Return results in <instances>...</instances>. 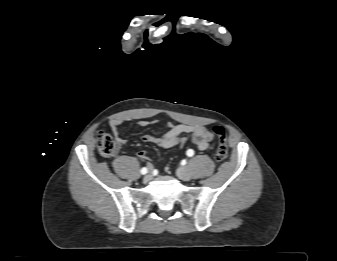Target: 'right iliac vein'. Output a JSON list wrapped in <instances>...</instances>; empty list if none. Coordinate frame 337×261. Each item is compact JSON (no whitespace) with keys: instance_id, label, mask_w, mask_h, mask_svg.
Masks as SVG:
<instances>
[{"instance_id":"63e3f726","label":"right iliac vein","mask_w":337,"mask_h":261,"mask_svg":"<svg viewBox=\"0 0 337 261\" xmlns=\"http://www.w3.org/2000/svg\"><path fill=\"white\" fill-rule=\"evenodd\" d=\"M151 179V174H148L144 177V182H148Z\"/></svg>"}]
</instances>
